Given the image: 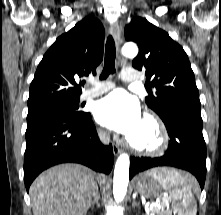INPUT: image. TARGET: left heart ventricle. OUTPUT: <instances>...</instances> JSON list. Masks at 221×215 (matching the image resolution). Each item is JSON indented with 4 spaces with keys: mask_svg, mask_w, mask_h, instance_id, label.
Listing matches in <instances>:
<instances>
[{
    "mask_svg": "<svg viewBox=\"0 0 221 215\" xmlns=\"http://www.w3.org/2000/svg\"><path fill=\"white\" fill-rule=\"evenodd\" d=\"M131 138L138 144L149 145L153 142L154 133L151 127L142 121L138 130Z\"/></svg>",
    "mask_w": 221,
    "mask_h": 215,
    "instance_id": "left-heart-ventricle-1",
    "label": "left heart ventricle"
}]
</instances>
